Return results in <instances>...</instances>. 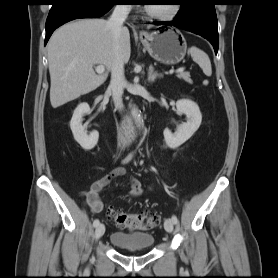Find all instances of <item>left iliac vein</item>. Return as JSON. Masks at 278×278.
Listing matches in <instances>:
<instances>
[{"mask_svg":"<svg viewBox=\"0 0 278 278\" xmlns=\"http://www.w3.org/2000/svg\"><path fill=\"white\" fill-rule=\"evenodd\" d=\"M164 228L168 233H171L174 228V223L172 222L171 219H166L164 222Z\"/></svg>","mask_w":278,"mask_h":278,"instance_id":"left-iliac-vein-1","label":"left iliac vein"}]
</instances>
